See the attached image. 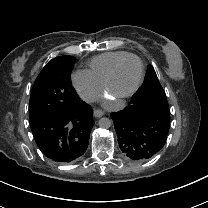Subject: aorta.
<instances>
[{"mask_svg": "<svg viewBox=\"0 0 208 208\" xmlns=\"http://www.w3.org/2000/svg\"><path fill=\"white\" fill-rule=\"evenodd\" d=\"M98 126L102 129H108L111 126V120L108 118H101L98 121Z\"/></svg>", "mask_w": 208, "mask_h": 208, "instance_id": "aorta-1", "label": "aorta"}]
</instances>
